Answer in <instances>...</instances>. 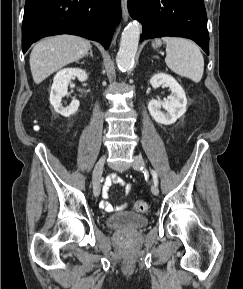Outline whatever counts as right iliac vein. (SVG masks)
<instances>
[{"label":"right iliac vein","mask_w":243,"mask_h":289,"mask_svg":"<svg viewBox=\"0 0 243 289\" xmlns=\"http://www.w3.org/2000/svg\"><path fill=\"white\" fill-rule=\"evenodd\" d=\"M105 160L106 156H102L95 165L93 170L92 183H93V192L96 197H98L101 192L100 179L103 173Z\"/></svg>","instance_id":"1"}]
</instances>
